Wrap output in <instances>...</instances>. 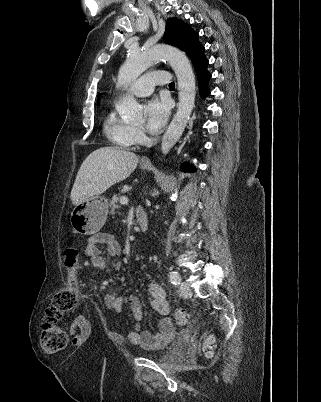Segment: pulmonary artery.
Listing matches in <instances>:
<instances>
[{
  "mask_svg": "<svg viewBox=\"0 0 321 402\" xmlns=\"http://www.w3.org/2000/svg\"><path fill=\"white\" fill-rule=\"evenodd\" d=\"M171 81V76L166 71H154L143 75L138 78L130 87V91L136 96H148L150 95L154 87L165 86Z\"/></svg>",
  "mask_w": 321,
  "mask_h": 402,
  "instance_id": "pulmonary-artery-1",
  "label": "pulmonary artery"
}]
</instances>
